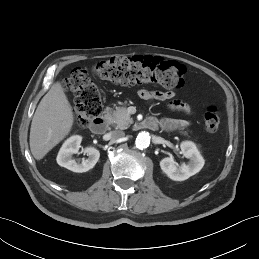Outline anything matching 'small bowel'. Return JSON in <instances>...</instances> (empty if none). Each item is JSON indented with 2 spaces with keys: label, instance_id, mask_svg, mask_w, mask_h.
<instances>
[{
  "label": "small bowel",
  "instance_id": "1",
  "mask_svg": "<svg viewBox=\"0 0 259 259\" xmlns=\"http://www.w3.org/2000/svg\"><path fill=\"white\" fill-rule=\"evenodd\" d=\"M141 99L144 101L152 100H170L169 107L175 111H183L185 113H190V108L180 100H174L175 92L173 91H151L147 89H141L138 91ZM152 119V118H150ZM163 128L167 130H175L184 128L189 125V122L181 119H164L161 121Z\"/></svg>",
  "mask_w": 259,
  "mask_h": 259
}]
</instances>
